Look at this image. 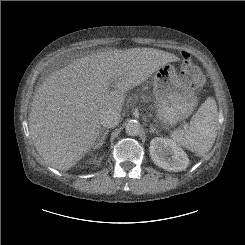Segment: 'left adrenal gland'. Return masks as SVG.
I'll return each mask as SVG.
<instances>
[{
    "label": "left adrenal gland",
    "mask_w": 245,
    "mask_h": 245,
    "mask_svg": "<svg viewBox=\"0 0 245 245\" xmlns=\"http://www.w3.org/2000/svg\"><path fill=\"white\" fill-rule=\"evenodd\" d=\"M149 132L150 133H154V132L158 133L157 129L154 127L153 124H150V130H149Z\"/></svg>",
    "instance_id": "a2214340"
}]
</instances>
